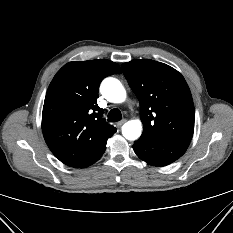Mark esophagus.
<instances>
[{
	"label": "esophagus",
	"instance_id": "34e87169",
	"mask_svg": "<svg viewBox=\"0 0 233 233\" xmlns=\"http://www.w3.org/2000/svg\"><path fill=\"white\" fill-rule=\"evenodd\" d=\"M125 122H126V120H122V121H120V122L117 123V126L121 127Z\"/></svg>",
	"mask_w": 233,
	"mask_h": 233
}]
</instances>
